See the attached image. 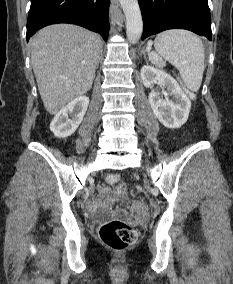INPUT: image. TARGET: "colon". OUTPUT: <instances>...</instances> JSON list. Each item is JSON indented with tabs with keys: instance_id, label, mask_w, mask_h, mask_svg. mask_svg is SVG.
<instances>
[{
	"instance_id": "colon-1",
	"label": "colon",
	"mask_w": 233,
	"mask_h": 284,
	"mask_svg": "<svg viewBox=\"0 0 233 284\" xmlns=\"http://www.w3.org/2000/svg\"><path fill=\"white\" fill-rule=\"evenodd\" d=\"M149 60L158 67H164L166 64L164 58L154 51L149 53ZM184 90L191 99L195 98L193 91L186 88H184ZM106 181L115 186L116 194L119 198L125 199L127 197V188L124 183H122L119 175L114 173L108 174L106 176ZM130 208L140 216H146L148 213L146 203L141 200L132 201ZM99 236L108 247L115 250H124L136 242L138 233L134 227L125 222L112 220L103 223L99 227Z\"/></svg>"
}]
</instances>
